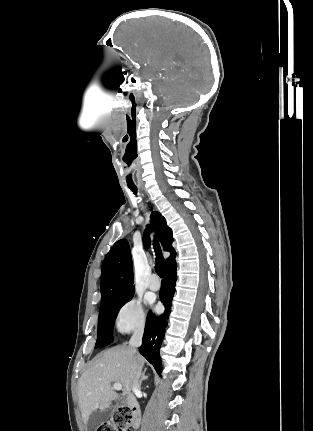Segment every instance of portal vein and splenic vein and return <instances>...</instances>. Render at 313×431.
Returning <instances> with one entry per match:
<instances>
[{"label":"portal vein and splenic vein","instance_id":"portal-vein-and-splenic-vein-1","mask_svg":"<svg viewBox=\"0 0 313 431\" xmlns=\"http://www.w3.org/2000/svg\"><path fill=\"white\" fill-rule=\"evenodd\" d=\"M113 389L117 390V391L122 390V384L121 383H114L113 384Z\"/></svg>","mask_w":313,"mask_h":431}]
</instances>
